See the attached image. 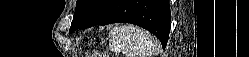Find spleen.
Instances as JSON below:
<instances>
[{"mask_svg": "<svg viewBox=\"0 0 249 57\" xmlns=\"http://www.w3.org/2000/svg\"><path fill=\"white\" fill-rule=\"evenodd\" d=\"M114 49L125 51L130 57H151L159 50L158 41L147 31L133 25H121L109 32Z\"/></svg>", "mask_w": 249, "mask_h": 57, "instance_id": "3e777b00", "label": "spleen"}]
</instances>
